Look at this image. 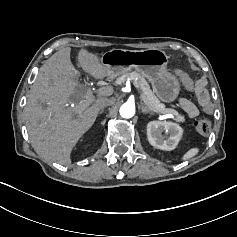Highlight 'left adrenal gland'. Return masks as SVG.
<instances>
[{"label":"left adrenal gland","mask_w":237,"mask_h":237,"mask_svg":"<svg viewBox=\"0 0 237 237\" xmlns=\"http://www.w3.org/2000/svg\"><path fill=\"white\" fill-rule=\"evenodd\" d=\"M140 108H141L143 113H145V114H147V113L152 114V111H150L143 102H141Z\"/></svg>","instance_id":"left-adrenal-gland-1"}]
</instances>
